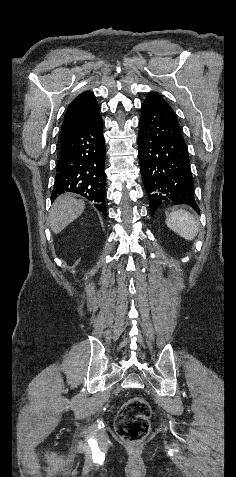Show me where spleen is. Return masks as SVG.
Instances as JSON below:
<instances>
[{"label":"spleen","instance_id":"1","mask_svg":"<svg viewBox=\"0 0 236 477\" xmlns=\"http://www.w3.org/2000/svg\"><path fill=\"white\" fill-rule=\"evenodd\" d=\"M166 224L170 229L187 240L194 239L198 232L197 221L185 210L172 212L166 219Z\"/></svg>","mask_w":236,"mask_h":477}]
</instances>
